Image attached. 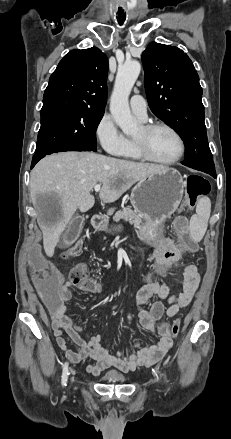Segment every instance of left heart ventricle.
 I'll use <instances>...</instances> for the list:
<instances>
[{
    "label": "left heart ventricle",
    "instance_id": "1",
    "mask_svg": "<svg viewBox=\"0 0 231 439\" xmlns=\"http://www.w3.org/2000/svg\"><path fill=\"white\" fill-rule=\"evenodd\" d=\"M134 139L142 140L149 153L159 160L172 159L178 153L176 138L165 129H156L146 134L141 128Z\"/></svg>",
    "mask_w": 231,
    "mask_h": 439
}]
</instances>
